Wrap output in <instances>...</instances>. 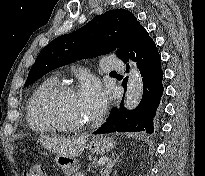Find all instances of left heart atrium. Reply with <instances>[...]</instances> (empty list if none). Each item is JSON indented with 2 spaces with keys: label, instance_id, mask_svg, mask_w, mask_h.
<instances>
[{
  "label": "left heart atrium",
  "instance_id": "39dd6f15",
  "mask_svg": "<svg viewBox=\"0 0 205 176\" xmlns=\"http://www.w3.org/2000/svg\"><path fill=\"white\" fill-rule=\"evenodd\" d=\"M78 98L89 117L99 116L106 107V96L101 86L94 80L82 84Z\"/></svg>",
  "mask_w": 205,
  "mask_h": 176
}]
</instances>
